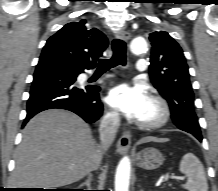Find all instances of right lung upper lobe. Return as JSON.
Segmentation results:
<instances>
[{"mask_svg": "<svg viewBox=\"0 0 218 191\" xmlns=\"http://www.w3.org/2000/svg\"><path fill=\"white\" fill-rule=\"evenodd\" d=\"M86 20L71 22L51 36L41 57L51 56L80 70L93 68L108 46L106 36L86 25Z\"/></svg>", "mask_w": 218, "mask_h": 191, "instance_id": "cb5924a9", "label": "right lung upper lobe"}]
</instances>
